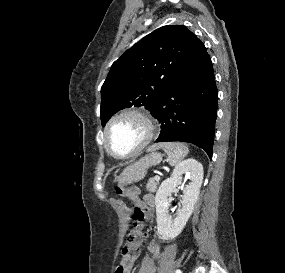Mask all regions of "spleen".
<instances>
[{"label":"spleen","mask_w":285,"mask_h":273,"mask_svg":"<svg viewBox=\"0 0 285 273\" xmlns=\"http://www.w3.org/2000/svg\"><path fill=\"white\" fill-rule=\"evenodd\" d=\"M163 149L167 155L170 165H178L183 158L188 154V147L180 142H164L153 145L150 150Z\"/></svg>","instance_id":"3e777b00"}]
</instances>
